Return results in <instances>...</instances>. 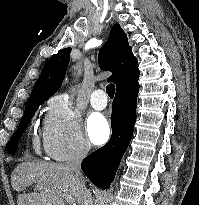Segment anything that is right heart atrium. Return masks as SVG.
Masks as SVG:
<instances>
[{"label":"right heart atrium","instance_id":"1","mask_svg":"<svg viewBox=\"0 0 199 205\" xmlns=\"http://www.w3.org/2000/svg\"><path fill=\"white\" fill-rule=\"evenodd\" d=\"M42 141L47 156L55 161L82 158L88 154L89 143L68 99L55 96L48 102Z\"/></svg>","mask_w":199,"mask_h":205}]
</instances>
